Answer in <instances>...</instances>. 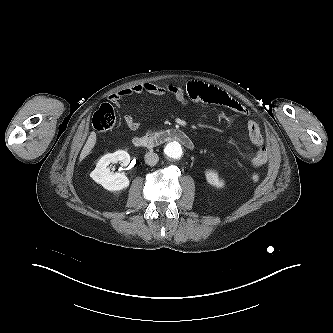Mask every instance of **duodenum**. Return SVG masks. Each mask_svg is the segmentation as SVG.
<instances>
[{
	"mask_svg": "<svg viewBox=\"0 0 333 333\" xmlns=\"http://www.w3.org/2000/svg\"><path fill=\"white\" fill-rule=\"evenodd\" d=\"M171 141L178 142L188 149L194 148V144L190 137L184 131L177 128H169L133 138V144L136 147L145 149H153L156 146Z\"/></svg>",
	"mask_w": 333,
	"mask_h": 333,
	"instance_id": "1",
	"label": "duodenum"
}]
</instances>
